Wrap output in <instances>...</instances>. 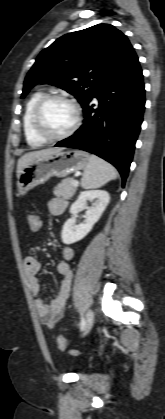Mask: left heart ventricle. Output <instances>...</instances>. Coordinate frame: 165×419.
Returning <instances> with one entry per match:
<instances>
[{
  "mask_svg": "<svg viewBox=\"0 0 165 419\" xmlns=\"http://www.w3.org/2000/svg\"><path fill=\"white\" fill-rule=\"evenodd\" d=\"M41 117L45 130L51 135H59L72 125L74 111L65 102L50 101L44 106Z\"/></svg>",
  "mask_w": 165,
  "mask_h": 419,
  "instance_id": "obj_1",
  "label": "left heart ventricle"
}]
</instances>
